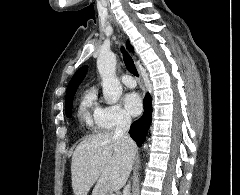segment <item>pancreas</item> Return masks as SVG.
I'll list each match as a JSON object with an SVG mask.
<instances>
[{
    "instance_id": "obj_1",
    "label": "pancreas",
    "mask_w": 240,
    "mask_h": 195,
    "mask_svg": "<svg viewBox=\"0 0 240 195\" xmlns=\"http://www.w3.org/2000/svg\"><path fill=\"white\" fill-rule=\"evenodd\" d=\"M95 193H97V195H103L102 191H100V189H98V187H96Z\"/></svg>"
}]
</instances>
